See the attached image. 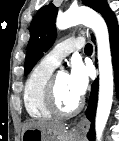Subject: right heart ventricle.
Segmentation results:
<instances>
[{"label": "right heart ventricle", "instance_id": "e07e8e85", "mask_svg": "<svg viewBox=\"0 0 119 141\" xmlns=\"http://www.w3.org/2000/svg\"><path fill=\"white\" fill-rule=\"evenodd\" d=\"M55 66L42 60L31 71L24 87V104L28 114L37 120H47L52 114L44 103L46 84L53 73Z\"/></svg>", "mask_w": 119, "mask_h": 141}]
</instances>
